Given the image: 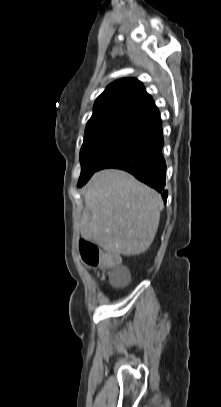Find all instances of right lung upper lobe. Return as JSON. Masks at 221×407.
I'll use <instances>...</instances> for the list:
<instances>
[{"label": "right lung upper lobe", "instance_id": "cb5924a9", "mask_svg": "<svg viewBox=\"0 0 221 407\" xmlns=\"http://www.w3.org/2000/svg\"><path fill=\"white\" fill-rule=\"evenodd\" d=\"M159 114L152 97L137 79L125 78L110 84L96 99L85 135L120 125L141 126Z\"/></svg>", "mask_w": 221, "mask_h": 407}]
</instances>
